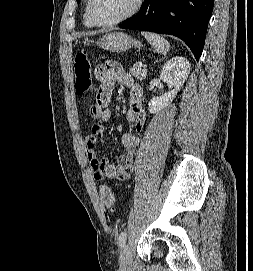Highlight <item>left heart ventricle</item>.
Segmentation results:
<instances>
[{
	"instance_id": "b2bd125f",
	"label": "left heart ventricle",
	"mask_w": 253,
	"mask_h": 271,
	"mask_svg": "<svg viewBox=\"0 0 253 271\" xmlns=\"http://www.w3.org/2000/svg\"><path fill=\"white\" fill-rule=\"evenodd\" d=\"M135 0H94V14L100 22L116 20L131 10Z\"/></svg>"
}]
</instances>
